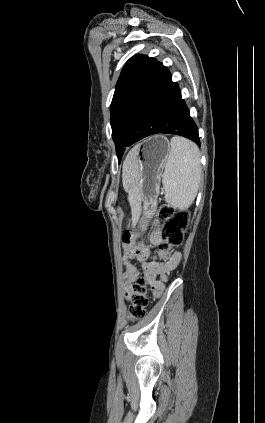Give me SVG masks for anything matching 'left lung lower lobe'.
<instances>
[{"instance_id":"left-lung-lower-lobe-1","label":"left lung lower lobe","mask_w":265,"mask_h":423,"mask_svg":"<svg viewBox=\"0 0 265 423\" xmlns=\"http://www.w3.org/2000/svg\"><path fill=\"white\" fill-rule=\"evenodd\" d=\"M158 133L184 136L200 145L198 128L169 70L154 61L129 115L123 148Z\"/></svg>"}]
</instances>
